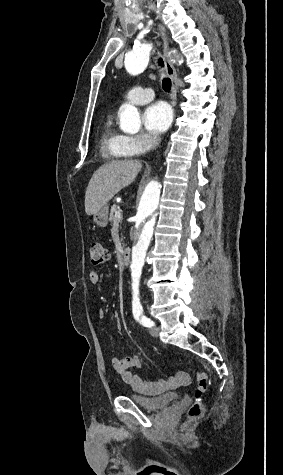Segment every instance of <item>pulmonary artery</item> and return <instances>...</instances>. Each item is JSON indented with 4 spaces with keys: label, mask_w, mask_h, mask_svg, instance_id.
<instances>
[{
    "label": "pulmonary artery",
    "mask_w": 283,
    "mask_h": 475,
    "mask_svg": "<svg viewBox=\"0 0 283 475\" xmlns=\"http://www.w3.org/2000/svg\"><path fill=\"white\" fill-rule=\"evenodd\" d=\"M156 94L150 87L132 86L127 89L124 100L133 104H143L154 100Z\"/></svg>",
    "instance_id": "obj_1"
}]
</instances>
